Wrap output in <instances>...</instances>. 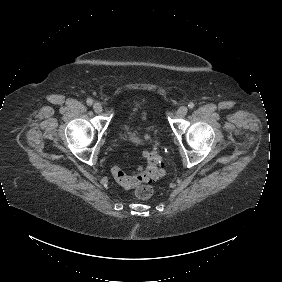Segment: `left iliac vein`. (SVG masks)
I'll return each mask as SVG.
<instances>
[{
    "instance_id": "4c4485c4",
    "label": "left iliac vein",
    "mask_w": 282,
    "mask_h": 282,
    "mask_svg": "<svg viewBox=\"0 0 282 282\" xmlns=\"http://www.w3.org/2000/svg\"><path fill=\"white\" fill-rule=\"evenodd\" d=\"M188 112V108L186 106H181L179 107V109L177 110V116L179 118L184 117Z\"/></svg>"
}]
</instances>
